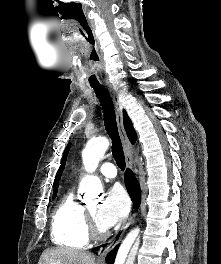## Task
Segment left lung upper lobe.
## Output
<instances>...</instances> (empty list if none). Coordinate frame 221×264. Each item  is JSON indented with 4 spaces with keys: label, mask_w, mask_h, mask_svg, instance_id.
Listing matches in <instances>:
<instances>
[{
    "label": "left lung upper lobe",
    "mask_w": 221,
    "mask_h": 264,
    "mask_svg": "<svg viewBox=\"0 0 221 264\" xmlns=\"http://www.w3.org/2000/svg\"><path fill=\"white\" fill-rule=\"evenodd\" d=\"M70 149V143L68 144V146L66 147L65 151H64V154H63V157H62V161H61V166L56 174V178H55V181H54V187H53V198H55L56 194H57V189H58V181L60 179V176H61V173L65 167V163H66V157H67V154H68V151Z\"/></svg>",
    "instance_id": "obj_1"
}]
</instances>
